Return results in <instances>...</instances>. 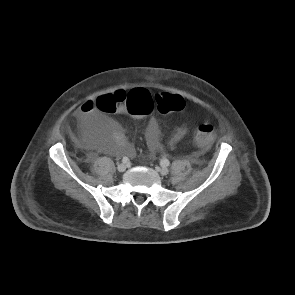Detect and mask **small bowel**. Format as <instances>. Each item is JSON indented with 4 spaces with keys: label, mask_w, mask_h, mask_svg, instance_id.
I'll list each match as a JSON object with an SVG mask.
<instances>
[{
    "label": "small bowel",
    "mask_w": 295,
    "mask_h": 295,
    "mask_svg": "<svg viewBox=\"0 0 295 295\" xmlns=\"http://www.w3.org/2000/svg\"><path fill=\"white\" fill-rule=\"evenodd\" d=\"M75 118L84 137L97 149L107 152H122L130 157L134 156L135 149L128 143L123 132L113 120L102 114L94 102L83 103L76 112ZM189 129L188 124L178 129L171 139V146L179 144L188 134ZM145 133L151 153H160L162 150L160 132L154 118H151L147 124Z\"/></svg>",
    "instance_id": "c3829d8e"
}]
</instances>
